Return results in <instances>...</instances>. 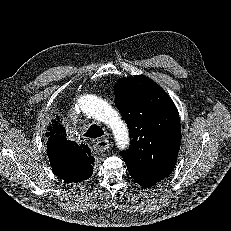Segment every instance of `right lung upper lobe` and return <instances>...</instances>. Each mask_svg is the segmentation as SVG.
Returning <instances> with one entry per match:
<instances>
[{
    "label": "right lung upper lobe",
    "instance_id": "obj_1",
    "mask_svg": "<svg viewBox=\"0 0 231 231\" xmlns=\"http://www.w3.org/2000/svg\"><path fill=\"white\" fill-rule=\"evenodd\" d=\"M47 153L53 173L65 182H79L88 179L93 173V160L85 145H77L67 140L66 130L59 119L52 120L48 128ZM89 149V148H88Z\"/></svg>",
    "mask_w": 231,
    "mask_h": 231
}]
</instances>
